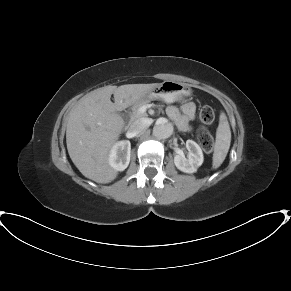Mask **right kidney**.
Segmentation results:
<instances>
[{
  "instance_id": "1",
  "label": "right kidney",
  "mask_w": 291,
  "mask_h": 291,
  "mask_svg": "<svg viewBox=\"0 0 291 291\" xmlns=\"http://www.w3.org/2000/svg\"><path fill=\"white\" fill-rule=\"evenodd\" d=\"M131 143L130 141H119L109 153V164L116 171L125 170L130 162Z\"/></svg>"
}]
</instances>
